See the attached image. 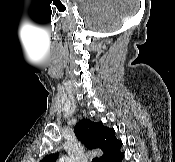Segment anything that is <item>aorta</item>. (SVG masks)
<instances>
[{
  "mask_svg": "<svg viewBox=\"0 0 175 162\" xmlns=\"http://www.w3.org/2000/svg\"><path fill=\"white\" fill-rule=\"evenodd\" d=\"M59 162H72V160L69 157H63Z\"/></svg>",
  "mask_w": 175,
  "mask_h": 162,
  "instance_id": "1",
  "label": "aorta"
}]
</instances>
